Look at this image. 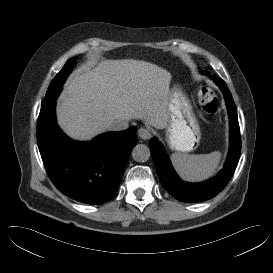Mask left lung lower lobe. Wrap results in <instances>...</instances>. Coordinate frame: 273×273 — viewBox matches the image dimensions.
<instances>
[{"label": "left lung lower lobe", "instance_id": "left-lung-lower-lobe-1", "mask_svg": "<svg viewBox=\"0 0 273 273\" xmlns=\"http://www.w3.org/2000/svg\"><path fill=\"white\" fill-rule=\"evenodd\" d=\"M201 73L209 75L207 71H201ZM210 78L224 94L230 119V147L221 172L203 183L191 184L184 182L174 171L164 147L157 138L153 137L149 141L152 159L161 184L174 198L186 203L209 200L220 193L231 179L240 158L241 139L236 106L225 82L213 75Z\"/></svg>", "mask_w": 273, "mask_h": 273}]
</instances>
